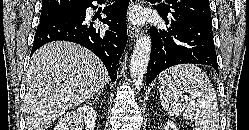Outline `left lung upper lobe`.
<instances>
[{"instance_id":"1","label":"left lung upper lobe","mask_w":249,"mask_h":130,"mask_svg":"<svg viewBox=\"0 0 249 130\" xmlns=\"http://www.w3.org/2000/svg\"><path fill=\"white\" fill-rule=\"evenodd\" d=\"M156 9L168 16H177L212 26L209 0H166Z\"/></svg>"}]
</instances>
